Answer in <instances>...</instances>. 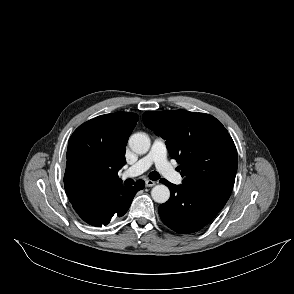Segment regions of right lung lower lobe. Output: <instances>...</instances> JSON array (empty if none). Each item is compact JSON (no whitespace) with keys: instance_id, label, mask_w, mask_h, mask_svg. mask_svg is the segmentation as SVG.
Listing matches in <instances>:
<instances>
[{"instance_id":"right-lung-lower-lobe-1","label":"right lung lower lobe","mask_w":294,"mask_h":294,"mask_svg":"<svg viewBox=\"0 0 294 294\" xmlns=\"http://www.w3.org/2000/svg\"><path fill=\"white\" fill-rule=\"evenodd\" d=\"M144 181L134 186H121L101 193L98 200L84 207H74L80 218L92 226L107 225L112 217H121L129 209L135 194L144 188Z\"/></svg>"}]
</instances>
